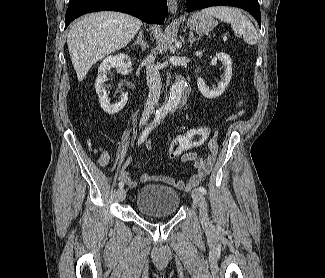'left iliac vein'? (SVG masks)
<instances>
[{
    "label": "left iliac vein",
    "mask_w": 325,
    "mask_h": 278,
    "mask_svg": "<svg viewBox=\"0 0 325 278\" xmlns=\"http://www.w3.org/2000/svg\"><path fill=\"white\" fill-rule=\"evenodd\" d=\"M191 196L194 202L199 206V214L200 219L203 223L208 222V210H207V203L205 200L204 195L199 191H192Z\"/></svg>",
    "instance_id": "4c4485c4"
}]
</instances>
